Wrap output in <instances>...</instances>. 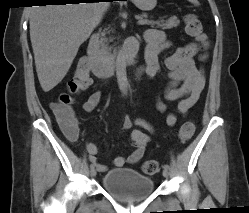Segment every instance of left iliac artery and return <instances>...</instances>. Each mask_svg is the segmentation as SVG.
Returning a JSON list of instances; mask_svg holds the SVG:
<instances>
[{"mask_svg": "<svg viewBox=\"0 0 249 213\" xmlns=\"http://www.w3.org/2000/svg\"><path fill=\"white\" fill-rule=\"evenodd\" d=\"M164 169L169 170V169H170V166H169L168 164H165V165H164Z\"/></svg>", "mask_w": 249, "mask_h": 213, "instance_id": "obj_1", "label": "left iliac artery"}]
</instances>
